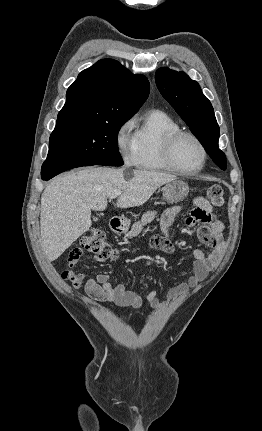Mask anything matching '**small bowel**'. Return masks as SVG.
<instances>
[{
	"instance_id": "c3829d8e",
	"label": "small bowel",
	"mask_w": 262,
	"mask_h": 431,
	"mask_svg": "<svg viewBox=\"0 0 262 431\" xmlns=\"http://www.w3.org/2000/svg\"><path fill=\"white\" fill-rule=\"evenodd\" d=\"M192 205L195 208V214L188 219L187 223L199 222L201 224L198 230L199 238L211 248V252L205 253L199 248L193 250V273L187 281L177 284L169 291L168 298L172 302L182 298L190 289L204 280L217 266L225 251V241L223 238L224 224L217 218L211 204L206 198L198 196L193 199ZM179 211L180 207L169 208L163 213L160 219V226L166 243L155 248L168 254L174 251V247L169 241V229L173 225ZM82 284L86 293L98 301L112 303L118 307L140 308L143 304L138 292L127 289L123 284H113L106 274H101L96 279L73 282V286H80ZM146 297L153 307L160 306L156 291L147 292Z\"/></svg>"
}]
</instances>
